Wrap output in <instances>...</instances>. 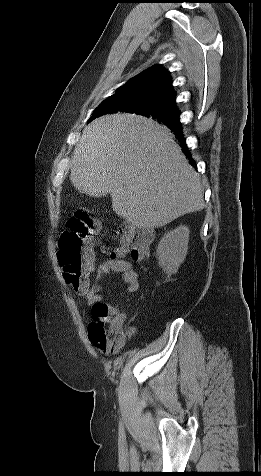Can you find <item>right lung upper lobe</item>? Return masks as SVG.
<instances>
[{
	"mask_svg": "<svg viewBox=\"0 0 261 476\" xmlns=\"http://www.w3.org/2000/svg\"><path fill=\"white\" fill-rule=\"evenodd\" d=\"M112 96H119L121 103L158 101L176 109L171 77L160 65L132 78Z\"/></svg>",
	"mask_w": 261,
	"mask_h": 476,
	"instance_id": "right-lung-upper-lobe-1",
	"label": "right lung upper lobe"
}]
</instances>
